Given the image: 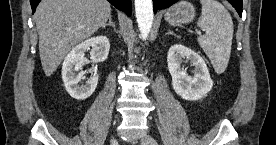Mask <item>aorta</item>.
I'll return each mask as SVG.
<instances>
[{"label":"aorta","mask_w":276,"mask_h":145,"mask_svg":"<svg viewBox=\"0 0 276 145\" xmlns=\"http://www.w3.org/2000/svg\"><path fill=\"white\" fill-rule=\"evenodd\" d=\"M135 14L141 38L146 40L153 23L152 0H135Z\"/></svg>","instance_id":"obj_1"}]
</instances>
